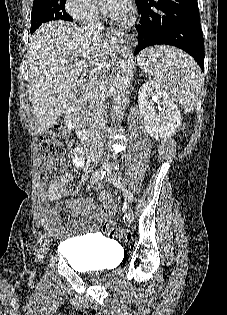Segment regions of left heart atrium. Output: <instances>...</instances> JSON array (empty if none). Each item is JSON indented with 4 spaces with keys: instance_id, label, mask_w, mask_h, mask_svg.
<instances>
[{
    "instance_id": "left-heart-atrium-1",
    "label": "left heart atrium",
    "mask_w": 227,
    "mask_h": 315,
    "mask_svg": "<svg viewBox=\"0 0 227 315\" xmlns=\"http://www.w3.org/2000/svg\"><path fill=\"white\" fill-rule=\"evenodd\" d=\"M99 6L106 16L115 21L125 19L130 10L129 0H99Z\"/></svg>"
}]
</instances>
